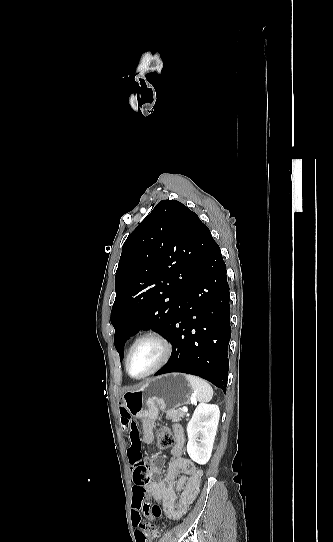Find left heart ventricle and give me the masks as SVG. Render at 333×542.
Returning a JSON list of instances; mask_svg holds the SVG:
<instances>
[{
    "label": "left heart ventricle",
    "mask_w": 333,
    "mask_h": 542,
    "mask_svg": "<svg viewBox=\"0 0 333 542\" xmlns=\"http://www.w3.org/2000/svg\"><path fill=\"white\" fill-rule=\"evenodd\" d=\"M161 356L160 346L154 341H145L138 345L129 359V371L139 376L152 369Z\"/></svg>",
    "instance_id": "left-heart-ventricle-1"
}]
</instances>
